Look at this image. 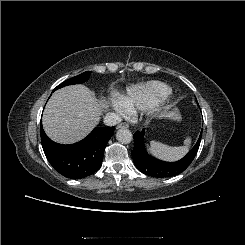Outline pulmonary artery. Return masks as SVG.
Wrapping results in <instances>:
<instances>
[{"label":"pulmonary artery","mask_w":245,"mask_h":245,"mask_svg":"<svg viewBox=\"0 0 245 245\" xmlns=\"http://www.w3.org/2000/svg\"><path fill=\"white\" fill-rule=\"evenodd\" d=\"M124 112H125V113H128V112H129V111H128V110L126 109V107H125V110H124Z\"/></svg>","instance_id":"obj_1"}]
</instances>
